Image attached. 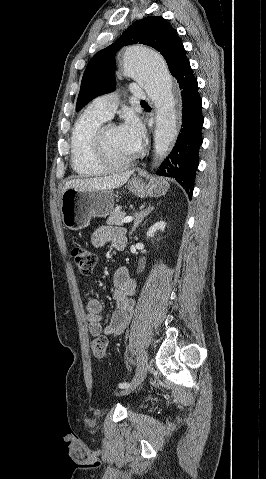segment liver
I'll return each instance as SVG.
<instances>
[{
  "mask_svg": "<svg viewBox=\"0 0 266 479\" xmlns=\"http://www.w3.org/2000/svg\"><path fill=\"white\" fill-rule=\"evenodd\" d=\"M131 175L132 172L128 171L125 173L115 174L106 177L71 179L65 183L63 187V192L67 189L89 191L112 190L123 186L128 181Z\"/></svg>",
  "mask_w": 266,
  "mask_h": 479,
  "instance_id": "6515ba94",
  "label": "liver"
}]
</instances>
